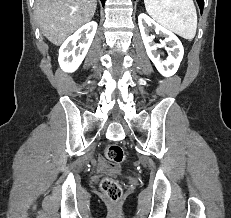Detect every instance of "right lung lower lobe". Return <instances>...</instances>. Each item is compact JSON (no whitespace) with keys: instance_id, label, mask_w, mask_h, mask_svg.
I'll use <instances>...</instances> for the list:
<instances>
[{"instance_id":"right-lung-lower-lobe-1","label":"right lung lower lobe","mask_w":231,"mask_h":218,"mask_svg":"<svg viewBox=\"0 0 231 218\" xmlns=\"http://www.w3.org/2000/svg\"><path fill=\"white\" fill-rule=\"evenodd\" d=\"M101 2H102V5L104 6L105 0H101Z\"/></svg>"}]
</instances>
